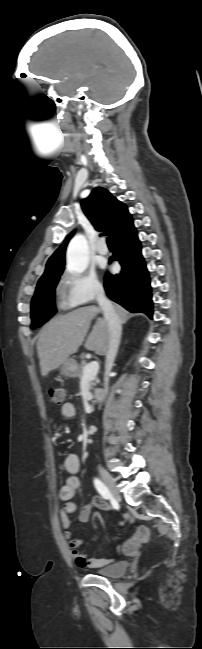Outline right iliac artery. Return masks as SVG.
I'll return each instance as SVG.
<instances>
[{"mask_svg": "<svg viewBox=\"0 0 202 649\" xmlns=\"http://www.w3.org/2000/svg\"><path fill=\"white\" fill-rule=\"evenodd\" d=\"M94 485L99 494L104 498V499H109L111 494L108 490V488L104 485V483L99 480L98 478L94 479Z\"/></svg>", "mask_w": 202, "mask_h": 649, "instance_id": "right-iliac-artery-1", "label": "right iliac artery"}]
</instances>
